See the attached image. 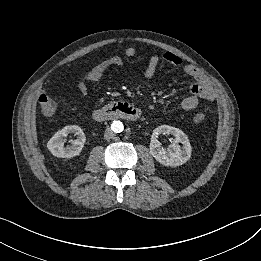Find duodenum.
I'll return each instance as SVG.
<instances>
[{"label": "duodenum", "mask_w": 261, "mask_h": 261, "mask_svg": "<svg viewBox=\"0 0 261 261\" xmlns=\"http://www.w3.org/2000/svg\"><path fill=\"white\" fill-rule=\"evenodd\" d=\"M140 115L137 108L126 102H117L104 107L99 110H95L92 116L95 120H116V119H128L136 120Z\"/></svg>", "instance_id": "1"}]
</instances>
